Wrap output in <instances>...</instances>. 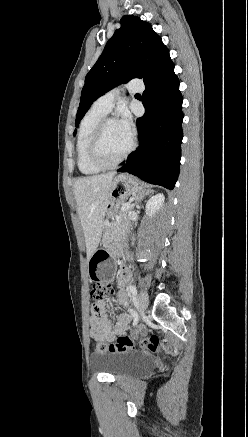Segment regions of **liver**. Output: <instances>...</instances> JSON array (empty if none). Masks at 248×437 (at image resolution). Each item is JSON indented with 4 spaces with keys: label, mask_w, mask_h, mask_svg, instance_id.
Instances as JSON below:
<instances>
[{
    "label": "liver",
    "mask_w": 248,
    "mask_h": 437,
    "mask_svg": "<svg viewBox=\"0 0 248 437\" xmlns=\"http://www.w3.org/2000/svg\"><path fill=\"white\" fill-rule=\"evenodd\" d=\"M115 175V172H109L82 177L73 187L88 260L101 241L106 207L110 200Z\"/></svg>",
    "instance_id": "obj_1"
}]
</instances>
